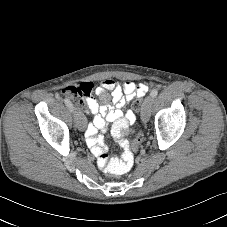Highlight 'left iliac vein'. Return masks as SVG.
Here are the masks:
<instances>
[{
    "label": "left iliac vein",
    "mask_w": 227,
    "mask_h": 227,
    "mask_svg": "<svg viewBox=\"0 0 227 227\" xmlns=\"http://www.w3.org/2000/svg\"><path fill=\"white\" fill-rule=\"evenodd\" d=\"M152 103L153 98L151 96L145 98L141 109V119L143 123H147L150 118Z\"/></svg>",
    "instance_id": "obj_1"
}]
</instances>
